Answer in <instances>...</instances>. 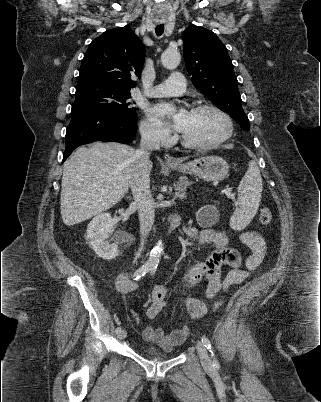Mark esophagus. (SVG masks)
<instances>
[{
  "label": "esophagus",
  "mask_w": 321,
  "mask_h": 402,
  "mask_svg": "<svg viewBox=\"0 0 321 402\" xmlns=\"http://www.w3.org/2000/svg\"><path fill=\"white\" fill-rule=\"evenodd\" d=\"M163 160L167 165L178 164L179 161L172 157L170 154L165 153L163 156Z\"/></svg>",
  "instance_id": "esophagus-1"
}]
</instances>
